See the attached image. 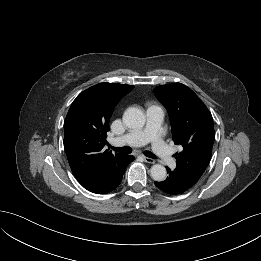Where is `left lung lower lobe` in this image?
<instances>
[{
  "mask_svg": "<svg viewBox=\"0 0 261 261\" xmlns=\"http://www.w3.org/2000/svg\"><path fill=\"white\" fill-rule=\"evenodd\" d=\"M169 176L161 182H154L155 185L163 192L176 195L189 190L195 183L185 177L183 174L175 170H170L167 167Z\"/></svg>",
  "mask_w": 261,
  "mask_h": 261,
  "instance_id": "1",
  "label": "left lung lower lobe"
}]
</instances>
